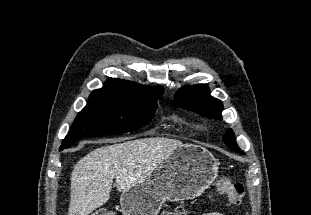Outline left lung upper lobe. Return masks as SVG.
<instances>
[{
    "instance_id": "1",
    "label": "left lung upper lobe",
    "mask_w": 311,
    "mask_h": 215,
    "mask_svg": "<svg viewBox=\"0 0 311 215\" xmlns=\"http://www.w3.org/2000/svg\"><path fill=\"white\" fill-rule=\"evenodd\" d=\"M175 103L181 108L200 113L209 118L222 119L223 104L220 100L210 96L207 85L187 86L180 89L175 96ZM222 139L230 149L245 154L237 146L232 129H228Z\"/></svg>"
}]
</instances>
